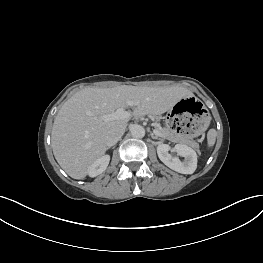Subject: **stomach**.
<instances>
[{"label":"stomach","mask_w":263,"mask_h":263,"mask_svg":"<svg viewBox=\"0 0 263 263\" xmlns=\"http://www.w3.org/2000/svg\"><path fill=\"white\" fill-rule=\"evenodd\" d=\"M212 121L209 107L193 96L182 98L173 104L166 115L169 131L177 137L190 140L205 136Z\"/></svg>","instance_id":"1"}]
</instances>
